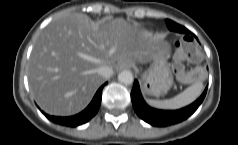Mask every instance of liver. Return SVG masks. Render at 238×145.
I'll return each mask as SVG.
<instances>
[{
    "mask_svg": "<svg viewBox=\"0 0 238 145\" xmlns=\"http://www.w3.org/2000/svg\"><path fill=\"white\" fill-rule=\"evenodd\" d=\"M161 49L158 36L140 37L137 25L123 18L94 22L70 14L51 22L37 38L28 64L30 89L46 113L70 116L83 110L104 82L99 67L146 64Z\"/></svg>",
    "mask_w": 238,
    "mask_h": 145,
    "instance_id": "6515ba94",
    "label": "liver"
}]
</instances>
